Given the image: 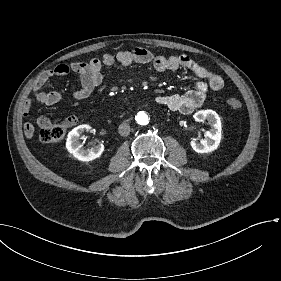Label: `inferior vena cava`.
Returning a JSON list of instances; mask_svg holds the SVG:
<instances>
[{
    "instance_id": "obj_1",
    "label": "inferior vena cava",
    "mask_w": 281,
    "mask_h": 281,
    "mask_svg": "<svg viewBox=\"0 0 281 281\" xmlns=\"http://www.w3.org/2000/svg\"><path fill=\"white\" fill-rule=\"evenodd\" d=\"M118 131H119V134L121 136H128L129 133H130V126H129V124H127V123L120 124L119 128H118Z\"/></svg>"
}]
</instances>
